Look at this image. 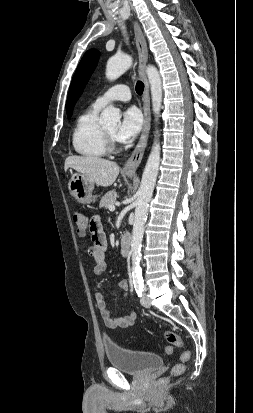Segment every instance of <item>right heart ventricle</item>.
I'll return each mask as SVG.
<instances>
[{
  "label": "right heart ventricle",
  "instance_id": "e07e8e85",
  "mask_svg": "<svg viewBox=\"0 0 253 413\" xmlns=\"http://www.w3.org/2000/svg\"><path fill=\"white\" fill-rule=\"evenodd\" d=\"M100 109L94 105L90 106L77 118L73 129V148L77 154L86 158H101L107 152L102 126L98 119Z\"/></svg>",
  "mask_w": 253,
  "mask_h": 413
}]
</instances>
